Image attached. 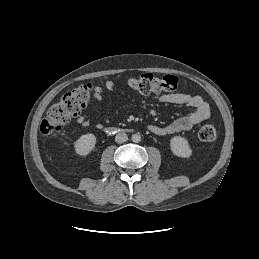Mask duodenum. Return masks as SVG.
<instances>
[{"label": "duodenum", "mask_w": 259, "mask_h": 259, "mask_svg": "<svg viewBox=\"0 0 259 259\" xmlns=\"http://www.w3.org/2000/svg\"><path fill=\"white\" fill-rule=\"evenodd\" d=\"M110 131H115V128H109Z\"/></svg>", "instance_id": "410a0bca"}]
</instances>
